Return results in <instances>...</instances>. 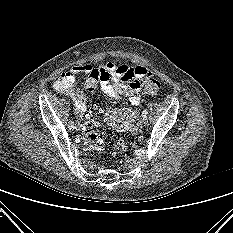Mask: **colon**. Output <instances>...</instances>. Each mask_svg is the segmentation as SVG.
<instances>
[{"label":"colon","instance_id":"5ec220e1","mask_svg":"<svg viewBox=\"0 0 233 233\" xmlns=\"http://www.w3.org/2000/svg\"><path fill=\"white\" fill-rule=\"evenodd\" d=\"M109 79L108 74L101 70L94 68L88 75L85 81V88L88 91H95L97 87L103 82ZM145 93L147 96L153 97L157 94L160 88V83L153 77H147L144 80ZM68 86L66 80L61 76L56 84V89H64ZM97 120L96 114L91 112L86 115L83 124V133L88 145V149L91 153H95L101 148V140L96 133ZM126 150V144L122 140H118L115 144L114 155H120Z\"/></svg>","mask_w":233,"mask_h":233}]
</instances>
